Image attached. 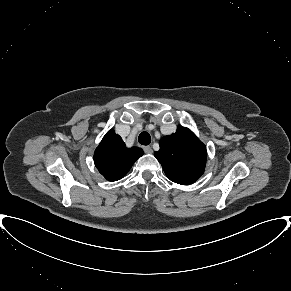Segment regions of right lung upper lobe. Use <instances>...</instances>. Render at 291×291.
<instances>
[{
    "label": "right lung upper lobe",
    "mask_w": 291,
    "mask_h": 291,
    "mask_svg": "<svg viewBox=\"0 0 291 291\" xmlns=\"http://www.w3.org/2000/svg\"><path fill=\"white\" fill-rule=\"evenodd\" d=\"M142 155V149L127 148L122 138L111 129L96 148L94 163L107 180L117 181L128 173L134 162Z\"/></svg>",
    "instance_id": "obj_1"
}]
</instances>
